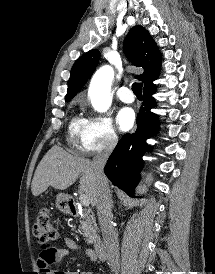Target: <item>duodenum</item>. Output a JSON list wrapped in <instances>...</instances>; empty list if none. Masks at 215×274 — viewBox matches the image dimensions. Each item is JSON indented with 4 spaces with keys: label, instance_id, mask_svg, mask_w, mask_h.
<instances>
[{
    "label": "duodenum",
    "instance_id": "1",
    "mask_svg": "<svg viewBox=\"0 0 215 274\" xmlns=\"http://www.w3.org/2000/svg\"><path fill=\"white\" fill-rule=\"evenodd\" d=\"M67 207L69 209V212L77 216L79 214V209L77 207L76 202L73 199L67 200ZM94 250L100 260H105L107 257V248L105 243L101 239H97L94 242Z\"/></svg>",
    "mask_w": 215,
    "mask_h": 274
}]
</instances>
